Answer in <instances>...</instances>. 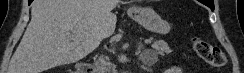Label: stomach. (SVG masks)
<instances>
[{
    "mask_svg": "<svg viewBox=\"0 0 244 73\" xmlns=\"http://www.w3.org/2000/svg\"><path fill=\"white\" fill-rule=\"evenodd\" d=\"M128 15L146 30L160 35L168 34L171 30L170 23L149 7H133Z\"/></svg>",
    "mask_w": 244,
    "mask_h": 73,
    "instance_id": "1",
    "label": "stomach"
}]
</instances>
